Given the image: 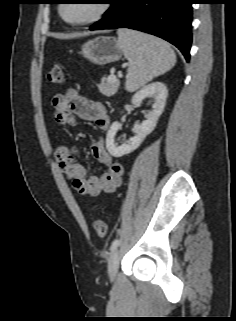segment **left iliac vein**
Masks as SVG:
<instances>
[{
    "label": "left iliac vein",
    "mask_w": 236,
    "mask_h": 321,
    "mask_svg": "<svg viewBox=\"0 0 236 321\" xmlns=\"http://www.w3.org/2000/svg\"><path fill=\"white\" fill-rule=\"evenodd\" d=\"M119 263V252L114 250L108 260V275L110 280H114L117 274V268Z\"/></svg>",
    "instance_id": "obj_1"
}]
</instances>
